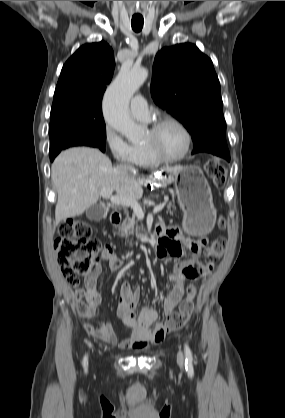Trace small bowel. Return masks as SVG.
Masks as SVG:
<instances>
[{"mask_svg":"<svg viewBox=\"0 0 285 418\" xmlns=\"http://www.w3.org/2000/svg\"><path fill=\"white\" fill-rule=\"evenodd\" d=\"M156 235L157 247L165 249L166 255L177 258L181 256L183 250H189L192 253L191 257L182 259L174 265L173 272L169 277L173 283V288L163 303V312L168 315L179 305L188 292L185 280L198 281L202 279L211 270L212 265L195 264V257L199 255L201 248L207 243L206 238L200 237L193 240L176 238L172 232L162 227L157 228ZM103 264L117 270L122 268L123 260L115 255L111 247L104 248L88 275L84 288L74 289L72 299L77 314L83 319L100 317L99 306L102 296L95 283ZM139 299V290H133L127 282L121 285L116 311L123 324L132 329L129 338L119 342L114 323L102 319L97 325L86 323L84 325L85 331L94 338L118 345L121 349H138L149 343H161L165 339L166 333H158V328L162 326L161 324H155L158 312L152 307L145 306L136 314L135 308Z\"/></svg>","mask_w":285,"mask_h":418,"instance_id":"obj_1","label":"small bowel"}]
</instances>
